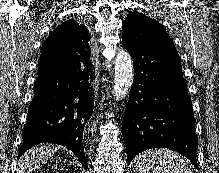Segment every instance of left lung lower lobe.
<instances>
[{
	"mask_svg": "<svg viewBox=\"0 0 219 173\" xmlns=\"http://www.w3.org/2000/svg\"><path fill=\"white\" fill-rule=\"evenodd\" d=\"M123 46L133 57L134 76L122 129L127 160L150 148H168L198 169L195 118L176 49Z\"/></svg>",
	"mask_w": 219,
	"mask_h": 173,
	"instance_id": "obj_1",
	"label": "left lung lower lobe"
}]
</instances>
